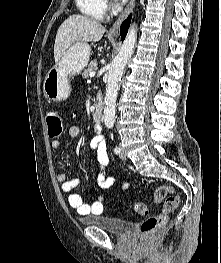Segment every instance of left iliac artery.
Here are the masks:
<instances>
[{
	"label": "left iliac artery",
	"instance_id": "obj_1",
	"mask_svg": "<svg viewBox=\"0 0 221 263\" xmlns=\"http://www.w3.org/2000/svg\"><path fill=\"white\" fill-rule=\"evenodd\" d=\"M120 151H121V149H120L119 147L116 146V147L114 148L115 154H119Z\"/></svg>",
	"mask_w": 221,
	"mask_h": 263
}]
</instances>
